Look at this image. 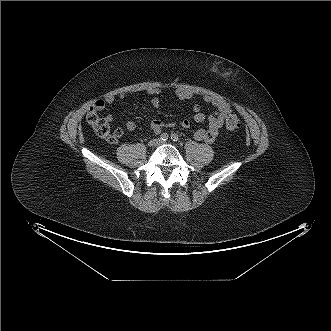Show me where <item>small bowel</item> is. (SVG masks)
I'll return each mask as SVG.
<instances>
[{"mask_svg": "<svg viewBox=\"0 0 331 331\" xmlns=\"http://www.w3.org/2000/svg\"><path fill=\"white\" fill-rule=\"evenodd\" d=\"M147 94L151 96V106L154 108H159L161 105V100L159 98L161 91L158 88H149L147 90ZM176 97L181 100V101H186L192 98V93L186 89H177L175 91ZM127 97V93L122 92L118 94L117 96L115 95H107L104 99H99L97 100L94 105L91 107V111L97 112L101 111L106 104H112L116 98L118 99H125ZM204 102L215 107L216 111L214 114L210 115L208 117V128L207 129H197L193 133V137L197 141H203L206 143H213L218 134L220 128L224 124V120L227 115L231 114L232 110L227 101H225L222 98L216 97V96H211L207 95L203 98ZM193 112H194V120L197 123H201L205 120V115L201 112V106L199 104H195L193 106ZM107 121H112L113 117L112 115H107L106 116ZM177 125L175 122H169V123H164L161 120H153L150 123V129L152 132L155 134H159L162 132L163 128L165 126H175ZM178 125H180L183 128H189L190 127V121L189 120H183L181 121ZM137 125L133 121H129L126 124V128L128 131H134L136 129ZM120 133L122 131L118 129Z\"/></svg>", "mask_w": 331, "mask_h": 331, "instance_id": "obj_1", "label": "small bowel"}]
</instances>
